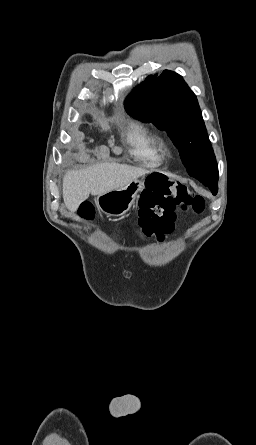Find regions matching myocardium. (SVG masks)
Returning a JSON list of instances; mask_svg holds the SVG:
<instances>
[{"instance_id":"f54148a6","label":"myocardium","mask_w":256,"mask_h":445,"mask_svg":"<svg viewBox=\"0 0 256 445\" xmlns=\"http://www.w3.org/2000/svg\"><path fill=\"white\" fill-rule=\"evenodd\" d=\"M162 151H163V153L165 154V155H170L171 154V150H170V148L168 147V146H163V148H162Z\"/></svg>"}]
</instances>
